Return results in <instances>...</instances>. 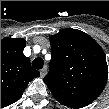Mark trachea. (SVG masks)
<instances>
[{
    "instance_id": "1",
    "label": "trachea",
    "mask_w": 109,
    "mask_h": 109,
    "mask_svg": "<svg viewBox=\"0 0 109 109\" xmlns=\"http://www.w3.org/2000/svg\"><path fill=\"white\" fill-rule=\"evenodd\" d=\"M43 65H44V61L41 58H36L32 62L33 68H35L37 70L42 69Z\"/></svg>"
}]
</instances>
